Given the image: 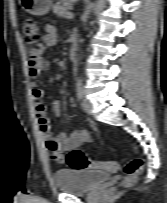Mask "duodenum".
<instances>
[{
    "mask_svg": "<svg viewBox=\"0 0 167 203\" xmlns=\"http://www.w3.org/2000/svg\"><path fill=\"white\" fill-rule=\"evenodd\" d=\"M76 55H77V42L76 40H73L68 53L69 60L71 61L75 60Z\"/></svg>",
    "mask_w": 167,
    "mask_h": 203,
    "instance_id": "1",
    "label": "duodenum"
}]
</instances>
